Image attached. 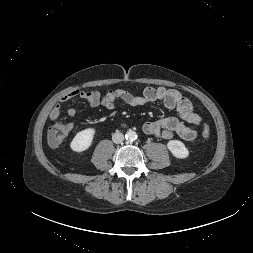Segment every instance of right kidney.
I'll list each match as a JSON object with an SVG mask.
<instances>
[{
	"instance_id": "right-kidney-1",
	"label": "right kidney",
	"mask_w": 253,
	"mask_h": 253,
	"mask_svg": "<svg viewBox=\"0 0 253 253\" xmlns=\"http://www.w3.org/2000/svg\"><path fill=\"white\" fill-rule=\"evenodd\" d=\"M94 134V128H87L78 132L70 144L71 149L75 152H83L87 150L92 144Z\"/></svg>"
}]
</instances>
